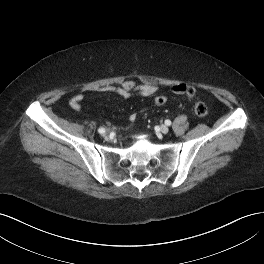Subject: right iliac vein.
I'll return each mask as SVG.
<instances>
[{
	"instance_id": "obj_1",
	"label": "right iliac vein",
	"mask_w": 264,
	"mask_h": 264,
	"mask_svg": "<svg viewBox=\"0 0 264 264\" xmlns=\"http://www.w3.org/2000/svg\"><path fill=\"white\" fill-rule=\"evenodd\" d=\"M104 137H108V132L103 134Z\"/></svg>"
}]
</instances>
